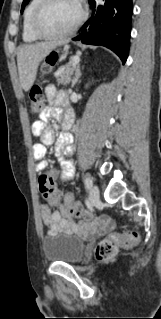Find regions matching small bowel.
<instances>
[{"label": "small bowel", "mask_w": 161, "mask_h": 319, "mask_svg": "<svg viewBox=\"0 0 161 319\" xmlns=\"http://www.w3.org/2000/svg\"><path fill=\"white\" fill-rule=\"evenodd\" d=\"M45 94L47 99L53 104L48 106L41 114L40 119L32 124V137L35 139H41L40 143H34L33 155L37 160L36 170L43 171L50 168V164L44 160L45 146L54 144L55 155L58 156L64 165V170L61 176L62 182H68L74 175L73 163L69 157L72 154L73 137L71 134L66 133L56 139L54 131L45 127V122L51 118H59L62 115L60 105L66 104V96L62 91H58L54 85H48L45 88ZM64 121H71V114L66 112L63 116ZM65 152L67 156H63L62 152ZM69 202L78 203L72 193H66L63 195V201L60 205L59 211H52L49 204H43L40 212L44 224L48 227L50 233H57L60 231H67L70 233H95L104 234L113 230L114 226L110 219L105 216H96L88 220L75 221L70 219L71 216L67 212V204Z\"/></svg>", "instance_id": "small-bowel-1"}]
</instances>
